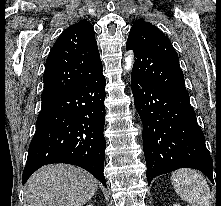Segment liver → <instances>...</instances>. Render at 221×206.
Returning <instances> with one entry per match:
<instances>
[{"mask_svg":"<svg viewBox=\"0 0 221 206\" xmlns=\"http://www.w3.org/2000/svg\"><path fill=\"white\" fill-rule=\"evenodd\" d=\"M97 180L84 169L67 164L48 165L28 180L27 206H82L95 194Z\"/></svg>","mask_w":221,"mask_h":206,"instance_id":"1","label":"liver"}]
</instances>
